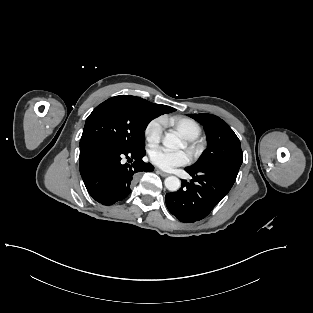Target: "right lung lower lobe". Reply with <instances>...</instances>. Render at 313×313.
I'll use <instances>...</instances> for the list:
<instances>
[{"instance_id": "98d812e1", "label": "right lung lower lobe", "mask_w": 313, "mask_h": 313, "mask_svg": "<svg viewBox=\"0 0 313 313\" xmlns=\"http://www.w3.org/2000/svg\"><path fill=\"white\" fill-rule=\"evenodd\" d=\"M144 148L127 149L108 141L96 140L80 146L79 169L88 193L103 205L125 199L139 172L153 171L144 163ZM127 158L133 164L123 163Z\"/></svg>"}]
</instances>
